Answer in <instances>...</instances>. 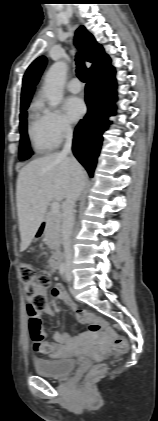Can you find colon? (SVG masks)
Segmentation results:
<instances>
[{
  "mask_svg": "<svg viewBox=\"0 0 158 421\" xmlns=\"http://www.w3.org/2000/svg\"><path fill=\"white\" fill-rule=\"evenodd\" d=\"M21 276L25 287V293L28 301V313L30 321L33 325L40 323L39 311L47 304L45 291L49 286V280L39 274L37 270L29 263L22 262L20 264ZM89 332L93 335L103 332L112 338L113 349L117 355L125 354L128 350L126 339L115 334L109 329L105 322L94 316L87 319ZM105 370V365L99 364L93 368L89 377L100 375Z\"/></svg>",
  "mask_w": 158,
  "mask_h": 421,
  "instance_id": "5ec220e1",
  "label": "colon"
}]
</instances>
